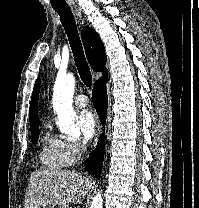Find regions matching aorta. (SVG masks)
I'll use <instances>...</instances> for the list:
<instances>
[{
    "label": "aorta",
    "instance_id": "762f6f07",
    "mask_svg": "<svg viewBox=\"0 0 199 208\" xmlns=\"http://www.w3.org/2000/svg\"><path fill=\"white\" fill-rule=\"evenodd\" d=\"M75 78L72 74L58 76L54 88L52 105L57 113V126L61 133L77 136L79 131L75 128V112L73 110V94ZM90 208H103L102 192L98 191L93 197Z\"/></svg>",
    "mask_w": 199,
    "mask_h": 208
}]
</instances>
